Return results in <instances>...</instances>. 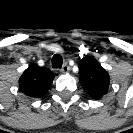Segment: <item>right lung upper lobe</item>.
<instances>
[{
  "label": "right lung upper lobe",
  "mask_w": 133,
  "mask_h": 133,
  "mask_svg": "<svg viewBox=\"0 0 133 133\" xmlns=\"http://www.w3.org/2000/svg\"><path fill=\"white\" fill-rule=\"evenodd\" d=\"M54 77L49 69L33 64L20 77L19 87L25 95L40 98L47 93Z\"/></svg>",
  "instance_id": "cb5924a9"
}]
</instances>
